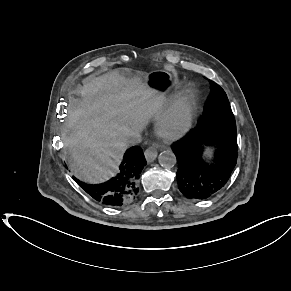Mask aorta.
Masks as SVG:
<instances>
[{
	"instance_id": "aorta-1",
	"label": "aorta",
	"mask_w": 291,
	"mask_h": 291,
	"mask_svg": "<svg viewBox=\"0 0 291 291\" xmlns=\"http://www.w3.org/2000/svg\"><path fill=\"white\" fill-rule=\"evenodd\" d=\"M159 164L165 168H172L175 166L177 160L175 154L171 150H165L159 154Z\"/></svg>"
}]
</instances>
